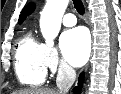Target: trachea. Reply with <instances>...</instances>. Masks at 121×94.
Masks as SVG:
<instances>
[{
	"label": "trachea",
	"mask_w": 121,
	"mask_h": 94,
	"mask_svg": "<svg viewBox=\"0 0 121 94\" xmlns=\"http://www.w3.org/2000/svg\"><path fill=\"white\" fill-rule=\"evenodd\" d=\"M74 7L80 15H84L85 9L81 0H73Z\"/></svg>",
	"instance_id": "trachea-1"
}]
</instances>
